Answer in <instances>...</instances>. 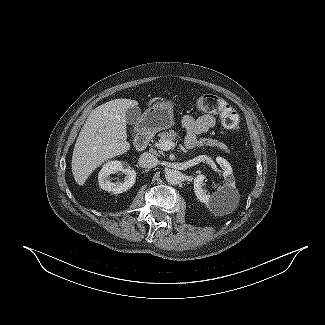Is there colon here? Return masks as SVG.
Listing matches in <instances>:
<instances>
[{"instance_id":"colon-1","label":"colon","mask_w":325,"mask_h":325,"mask_svg":"<svg viewBox=\"0 0 325 325\" xmlns=\"http://www.w3.org/2000/svg\"><path fill=\"white\" fill-rule=\"evenodd\" d=\"M195 105L200 111L217 114L226 129L237 130L239 128V114L221 97L213 94L202 95L196 99Z\"/></svg>"}]
</instances>
